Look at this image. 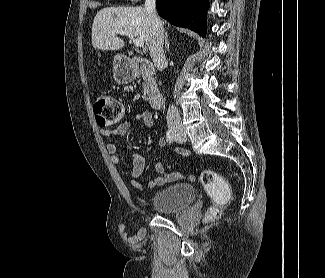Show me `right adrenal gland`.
Instances as JSON below:
<instances>
[{
	"instance_id": "obj_1",
	"label": "right adrenal gland",
	"mask_w": 325,
	"mask_h": 278,
	"mask_svg": "<svg viewBox=\"0 0 325 278\" xmlns=\"http://www.w3.org/2000/svg\"><path fill=\"white\" fill-rule=\"evenodd\" d=\"M169 49V41H168V33L166 31L165 33V51H168Z\"/></svg>"
}]
</instances>
